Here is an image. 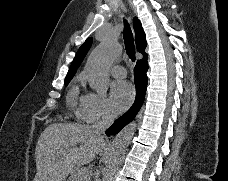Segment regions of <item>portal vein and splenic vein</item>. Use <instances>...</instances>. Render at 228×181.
Returning <instances> with one entry per match:
<instances>
[{
	"label": "portal vein and splenic vein",
	"mask_w": 228,
	"mask_h": 181,
	"mask_svg": "<svg viewBox=\"0 0 228 181\" xmlns=\"http://www.w3.org/2000/svg\"><path fill=\"white\" fill-rule=\"evenodd\" d=\"M80 175H86V177H88L89 175L88 169H86V167H84V169H81ZM86 177H80V179H86Z\"/></svg>",
	"instance_id": "18ae733b"
}]
</instances>
